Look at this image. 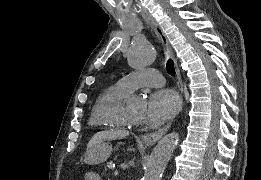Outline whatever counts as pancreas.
<instances>
[{"label":"pancreas","instance_id":"cf45deb5","mask_svg":"<svg viewBox=\"0 0 261 180\" xmlns=\"http://www.w3.org/2000/svg\"><path fill=\"white\" fill-rule=\"evenodd\" d=\"M113 164V159H107L102 166V169L105 170V176H110V169L109 167Z\"/></svg>","mask_w":261,"mask_h":180}]
</instances>
